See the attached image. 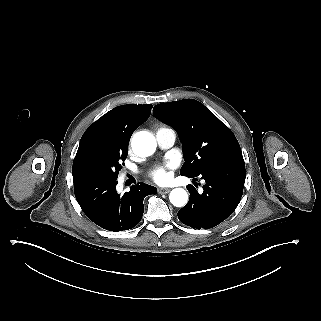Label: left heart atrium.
Segmentation results:
<instances>
[{"label": "left heart atrium", "mask_w": 321, "mask_h": 321, "mask_svg": "<svg viewBox=\"0 0 321 321\" xmlns=\"http://www.w3.org/2000/svg\"><path fill=\"white\" fill-rule=\"evenodd\" d=\"M175 166V161H168L163 165H157L151 169L150 176L157 182H168L170 179L169 170L174 168Z\"/></svg>", "instance_id": "39dd6f15"}]
</instances>
